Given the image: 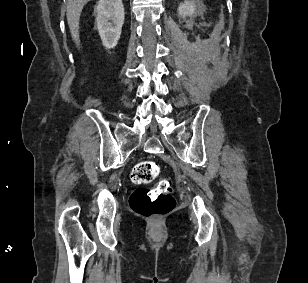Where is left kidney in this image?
<instances>
[{"instance_id": "obj_1", "label": "left kidney", "mask_w": 308, "mask_h": 283, "mask_svg": "<svg viewBox=\"0 0 308 283\" xmlns=\"http://www.w3.org/2000/svg\"><path fill=\"white\" fill-rule=\"evenodd\" d=\"M200 3L195 0H185L183 3H180L178 7L179 15L185 19L186 17H194L197 12V7Z\"/></svg>"}]
</instances>
